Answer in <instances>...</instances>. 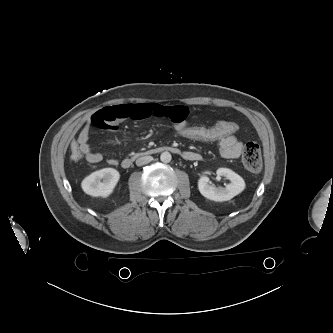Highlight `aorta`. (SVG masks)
I'll return each mask as SVG.
<instances>
[{"instance_id":"762f6f07","label":"aorta","mask_w":333,"mask_h":333,"mask_svg":"<svg viewBox=\"0 0 333 333\" xmlns=\"http://www.w3.org/2000/svg\"><path fill=\"white\" fill-rule=\"evenodd\" d=\"M172 159V156L169 152H163L161 155H160V160L163 162V163H169Z\"/></svg>"}]
</instances>
